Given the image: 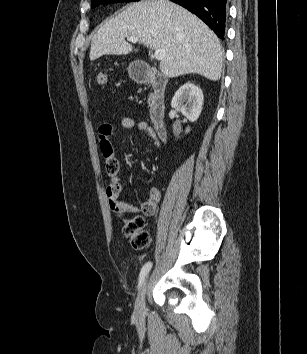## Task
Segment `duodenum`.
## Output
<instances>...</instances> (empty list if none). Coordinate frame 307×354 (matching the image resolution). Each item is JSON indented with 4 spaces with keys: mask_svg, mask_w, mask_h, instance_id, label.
<instances>
[{
    "mask_svg": "<svg viewBox=\"0 0 307 354\" xmlns=\"http://www.w3.org/2000/svg\"><path fill=\"white\" fill-rule=\"evenodd\" d=\"M134 79L138 83L150 84L153 92L150 98L149 116L157 135L162 139L167 138L166 125V105L165 90L167 86L166 78L155 68L143 66L133 73Z\"/></svg>",
    "mask_w": 307,
    "mask_h": 354,
    "instance_id": "obj_1",
    "label": "duodenum"
}]
</instances>
